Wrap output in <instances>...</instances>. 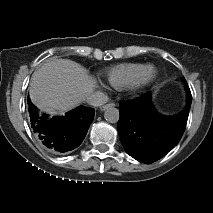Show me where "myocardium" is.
<instances>
[{
	"mask_svg": "<svg viewBox=\"0 0 213 213\" xmlns=\"http://www.w3.org/2000/svg\"><path fill=\"white\" fill-rule=\"evenodd\" d=\"M157 72L154 66L146 65L136 77L130 81L126 88L131 93H138L148 85H150L156 78Z\"/></svg>",
	"mask_w": 213,
	"mask_h": 213,
	"instance_id": "obj_1",
	"label": "myocardium"
}]
</instances>
